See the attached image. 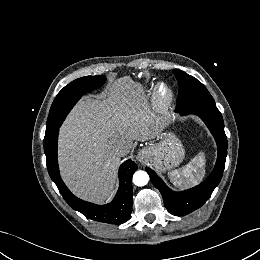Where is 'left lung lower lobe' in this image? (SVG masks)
<instances>
[{
    "mask_svg": "<svg viewBox=\"0 0 260 260\" xmlns=\"http://www.w3.org/2000/svg\"><path fill=\"white\" fill-rule=\"evenodd\" d=\"M176 112L181 115L189 113L198 115L210 129L218 146L217 162L210 176L200 185L187 191L180 193L171 191L153 170L146 168L151 182L161 192L167 210L173 215L183 216L200 208L219 184L227 156V137L222 115L216 105H192Z\"/></svg>",
    "mask_w": 260,
    "mask_h": 260,
    "instance_id": "left-lung-lower-lobe-1",
    "label": "left lung lower lobe"
}]
</instances>
